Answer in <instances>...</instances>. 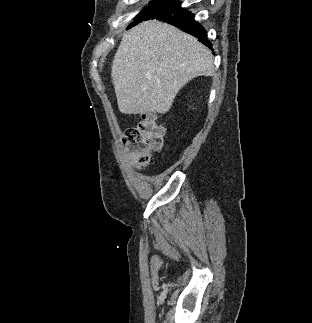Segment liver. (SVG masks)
<instances>
[{
	"mask_svg": "<svg viewBox=\"0 0 312 323\" xmlns=\"http://www.w3.org/2000/svg\"><path fill=\"white\" fill-rule=\"evenodd\" d=\"M213 56L197 38L149 20L123 34L111 66L119 112L167 114L179 90L213 76Z\"/></svg>",
	"mask_w": 312,
	"mask_h": 323,
	"instance_id": "1",
	"label": "liver"
}]
</instances>
